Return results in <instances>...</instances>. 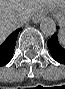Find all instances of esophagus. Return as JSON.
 <instances>
[{
    "label": "esophagus",
    "instance_id": "34e87169",
    "mask_svg": "<svg viewBox=\"0 0 65 89\" xmlns=\"http://www.w3.org/2000/svg\"><path fill=\"white\" fill-rule=\"evenodd\" d=\"M43 18V14L39 13L33 18V22L38 23Z\"/></svg>",
    "mask_w": 65,
    "mask_h": 89
}]
</instances>
